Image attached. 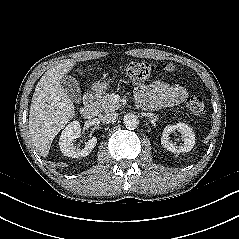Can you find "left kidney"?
<instances>
[{
	"mask_svg": "<svg viewBox=\"0 0 239 239\" xmlns=\"http://www.w3.org/2000/svg\"><path fill=\"white\" fill-rule=\"evenodd\" d=\"M178 131L181 134L183 143L176 145L170 140V134L174 131ZM161 144L169 151L173 153L189 152L195 144V134L192 129L185 123H177L176 125H168L163 129L161 137Z\"/></svg>",
	"mask_w": 239,
	"mask_h": 239,
	"instance_id": "5707ae66",
	"label": "left kidney"
}]
</instances>
